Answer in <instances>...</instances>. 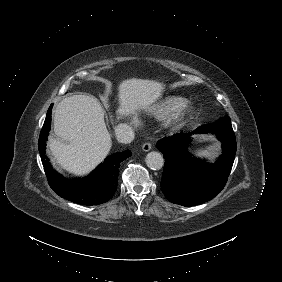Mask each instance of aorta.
Returning a JSON list of instances; mask_svg holds the SVG:
<instances>
[{
    "instance_id": "obj_1",
    "label": "aorta",
    "mask_w": 282,
    "mask_h": 282,
    "mask_svg": "<svg viewBox=\"0 0 282 282\" xmlns=\"http://www.w3.org/2000/svg\"><path fill=\"white\" fill-rule=\"evenodd\" d=\"M146 165L153 170H160L164 165L163 156L159 152L152 151L146 155Z\"/></svg>"
}]
</instances>
